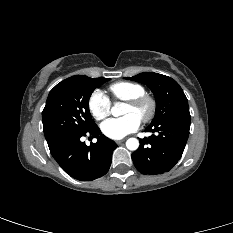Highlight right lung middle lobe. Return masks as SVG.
Here are the masks:
<instances>
[{"mask_svg": "<svg viewBox=\"0 0 233 233\" xmlns=\"http://www.w3.org/2000/svg\"><path fill=\"white\" fill-rule=\"evenodd\" d=\"M109 80L75 75L50 91L42 112L47 143L63 135L86 132L96 125L89 112V98L96 87Z\"/></svg>", "mask_w": 233, "mask_h": 233, "instance_id": "obj_1", "label": "right lung middle lobe"}]
</instances>
